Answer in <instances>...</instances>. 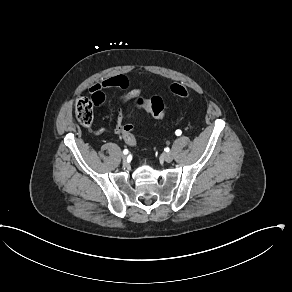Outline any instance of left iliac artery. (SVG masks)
Segmentation results:
<instances>
[{
    "label": "left iliac artery",
    "instance_id": "obj_1",
    "mask_svg": "<svg viewBox=\"0 0 292 292\" xmlns=\"http://www.w3.org/2000/svg\"><path fill=\"white\" fill-rule=\"evenodd\" d=\"M176 135H178V136L181 135V130H177Z\"/></svg>",
    "mask_w": 292,
    "mask_h": 292
}]
</instances>
